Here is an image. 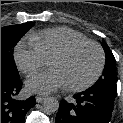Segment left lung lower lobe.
I'll return each mask as SVG.
<instances>
[{"mask_svg":"<svg viewBox=\"0 0 123 123\" xmlns=\"http://www.w3.org/2000/svg\"><path fill=\"white\" fill-rule=\"evenodd\" d=\"M116 91L89 88L74 95V102H60L55 123H108Z\"/></svg>","mask_w":123,"mask_h":123,"instance_id":"obj_1","label":"left lung lower lobe"}]
</instances>
